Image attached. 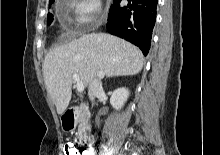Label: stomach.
<instances>
[{
    "label": "stomach",
    "instance_id": "1",
    "mask_svg": "<svg viewBox=\"0 0 220 155\" xmlns=\"http://www.w3.org/2000/svg\"><path fill=\"white\" fill-rule=\"evenodd\" d=\"M62 128L66 131H71L73 129V126H62Z\"/></svg>",
    "mask_w": 220,
    "mask_h": 155
}]
</instances>
